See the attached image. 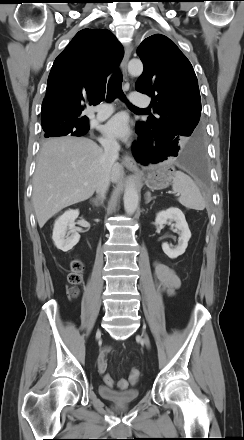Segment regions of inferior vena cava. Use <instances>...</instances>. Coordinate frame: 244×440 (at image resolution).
Listing matches in <instances>:
<instances>
[{"label":"inferior vena cava","instance_id":"obj_1","mask_svg":"<svg viewBox=\"0 0 244 440\" xmlns=\"http://www.w3.org/2000/svg\"><path fill=\"white\" fill-rule=\"evenodd\" d=\"M104 148L103 154V172L97 184L96 192L104 199L110 185L111 168L119 157L120 145L115 139H106L102 142Z\"/></svg>","mask_w":244,"mask_h":440}]
</instances>
